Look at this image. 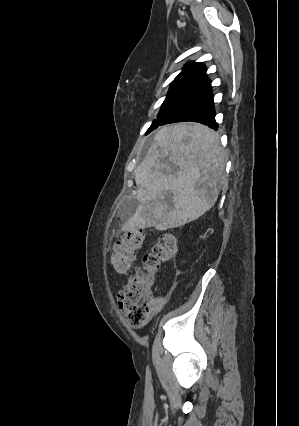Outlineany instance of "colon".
I'll use <instances>...</instances> for the list:
<instances>
[{
    "label": "colon",
    "instance_id": "colon-1",
    "mask_svg": "<svg viewBox=\"0 0 299 426\" xmlns=\"http://www.w3.org/2000/svg\"><path fill=\"white\" fill-rule=\"evenodd\" d=\"M144 232H125L116 241L110 257V265L117 274H125L131 267L137 252L142 247ZM177 254V242L173 235L159 237L150 253L143 258L141 266L118 293V302L127 322L133 327H142L162 303L152 295L155 276L163 262L173 260Z\"/></svg>",
    "mask_w": 299,
    "mask_h": 426
}]
</instances>
